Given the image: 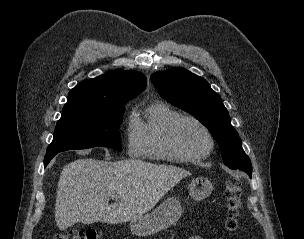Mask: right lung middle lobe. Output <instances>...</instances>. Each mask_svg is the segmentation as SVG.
Here are the masks:
<instances>
[{
	"mask_svg": "<svg viewBox=\"0 0 304 239\" xmlns=\"http://www.w3.org/2000/svg\"><path fill=\"white\" fill-rule=\"evenodd\" d=\"M124 110V106H121L63 112L46 154L95 146H107L121 151L119 127Z\"/></svg>",
	"mask_w": 304,
	"mask_h": 239,
	"instance_id": "right-lung-middle-lobe-1",
	"label": "right lung middle lobe"
}]
</instances>
